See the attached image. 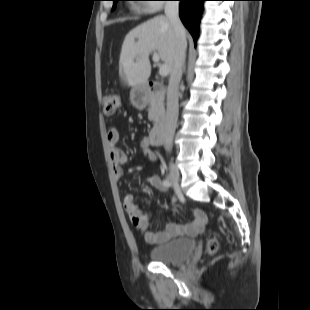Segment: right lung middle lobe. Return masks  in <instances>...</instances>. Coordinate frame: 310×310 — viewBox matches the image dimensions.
I'll return each mask as SVG.
<instances>
[{
	"label": "right lung middle lobe",
	"mask_w": 310,
	"mask_h": 310,
	"mask_svg": "<svg viewBox=\"0 0 310 310\" xmlns=\"http://www.w3.org/2000/svg\"><path fill=\"white\" fill-rule=\"evenodd\" d=\"M112 1H114L113 8H115V4H116V2L119 1V0H112Z\"/></svg>",
	"instance_id": "1"
}]
</instances>
